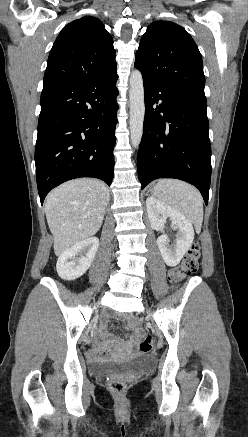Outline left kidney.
Here are the masks:
<instances>
[{"mask_svg": "<svg viewBox=\"0 0 248 437\" xmlns=\"http://www.w3.org/2000/svg\"><path fill=\"white\" fill-rule=\"evenodd\" d=\"M146 207L151 227L154 230L163 231L167 216L170 217L174 228L178 230L177 238L171 245L166 234L160 235L157 239L164 262L171 267L178 265L194 240L191 222L182 213L155 197L147 198Z\"/></svg>", "mask_w": 248, "mask_h": 437, "instance_id": "1", "label": "left kidney"}]
</instances>
